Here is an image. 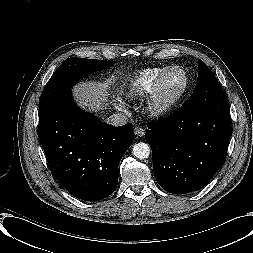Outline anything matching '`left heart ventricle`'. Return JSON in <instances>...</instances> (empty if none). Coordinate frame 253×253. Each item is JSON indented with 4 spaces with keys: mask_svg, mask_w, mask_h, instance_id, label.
<instances>
[{
    "mask_svg": "<svg viewBox=\"0 0 253 253\" xmlns=\"http://www.w3.org/2000/svg\"><path fill=\"white\" fill-rule=\"evenodd\" d=\"M184 83L183 74L176 70L168 74V76L164 79L160 92L159 98L162 101L171 100L182 88Z\"/></svg>",
    "mask_w": 253,
    "mask_h": 253,
    "instance_id": "left-heart-ventricle-1",
    "label": "left heart ventricle"
}]
</instances>
